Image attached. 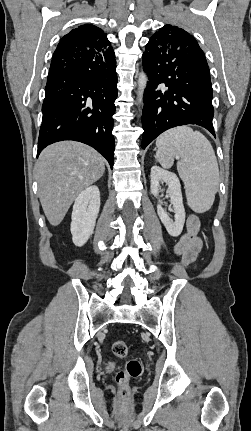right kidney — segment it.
<instances>
[{
	"mask_svg": "<svg viewBox=\"0 0 251 431\" xmlns=\"http://www.w3.org/2000/svg\"><path fill=\"white\" fill-rule=\"evenodd\" d=\"M100 209V192L96 185L83 190L72 211L71 234L76 246H83L93 234Z\"/></svg>",
	"mask_w": 251,
	"mask_h": 431,
	"instance_id": "right-kidney-1",
	"label": "right kidney"
}]
</instances>
